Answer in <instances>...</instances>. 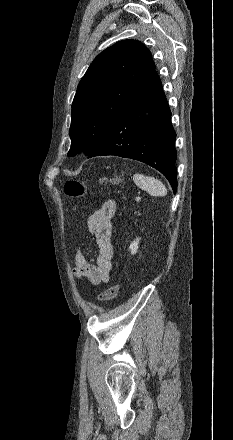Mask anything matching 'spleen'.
<instances>
[{"instance_id":"spleen-1","label":"spleen","mask_w":233,"mask_h":440,"mask_svg":"<svg viewBox=\"0 0 233 440\" xmlns=\"http://www.w3.org/2000/svg\"><path fill=\"white\" fill-rule=\"evenodd\" d=\"M133 180L139 188L147 191L151 196L163 197L167 194L165 185L154 177L136 173L133 175Z\"/></svg>"}]
</instances>
